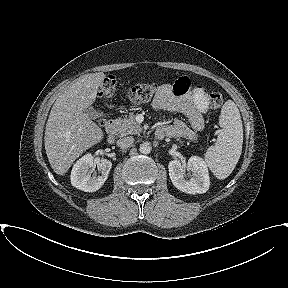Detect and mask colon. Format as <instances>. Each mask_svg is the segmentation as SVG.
<instances>
[{"label":"colon","mask_w":288,"mask_h":288,"mask_svg":"<svg viewBox=\"0 0 288 288\" xmlns=\"http://www.w3.org/2000/svg\"><path fill=\"white\" fill-rule=\"evenodd\" d=\"M158 86L156 84H138L131 87L127 92L129 102L140 104L150 101L157 94ZM117 91V81L115 77L108 76L104 79L100 90L99 97L108 98ZM223 103V96L219 91H212L209 94V104L212 109H218Z\"/></svg>","instance_id":"1"}]
</instances>
